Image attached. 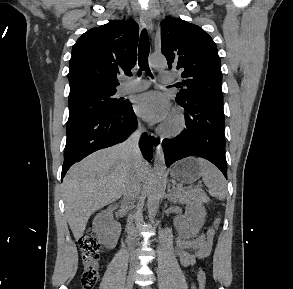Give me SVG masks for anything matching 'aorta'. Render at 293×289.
<instances>
[{"label":"aorta","instance_id":"1","mask_svg":"<svg viewBox=\"0 0 293 289\" xmlns=\"http://www.w3.org/2000/svg\"><path fill=\"white\" fill-rule=\"evenodd\" d=\"M149 65L152 68H165L167 66L166 59L164 57H151L149 59ZM166 164L164 152L161 147L157 148L154 162V170L152 174V180L148 191V217L153 220L155 212L158 207L162 191L166 181Z\"/></svg>","mask_w":293,"mask_h":289}]
</instances>
